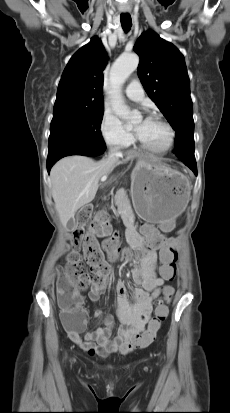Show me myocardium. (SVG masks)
<instances>
[{"mask_svg":"<svg viewBox=\"0 0 230 413\" xmlns=\"http://www.w3.org/2000/svg\"><path fill=\"white\" fill-rule=\"evenodd\" d=\"M151 120H156V121L160 122L166 128L167 134H168L166 142L161 146H153V145L145 143L139 137L137 139H138L141 147L144 150H147V151L153 152V153L167 152L173 146V143H174V139H175L174 128L172 127V125L166 119H164L160 115H157V114L152 115Z\"/></svg>","mask_w":230,"mask_h":413,"instance_id":"myocardium-1","label":"myocardium"}]
</instances>
